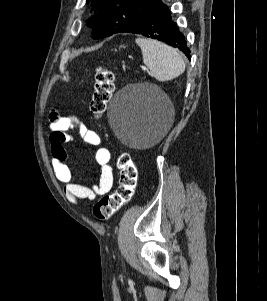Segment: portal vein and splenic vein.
Wrapping results in <instances>:
<instances>
[{"label": "portal vein and splenic vein", "mask_w": 267, "mask_h": 301, "mask_svg": "<svg viewBox=\"0 0 267 301\" xmlns=\"http://www.w3.org/2000/svg\"><path fill=\"white\" fill-rule=\"evenodd\" d=\"M141 68H142V70H144V71L147 70V68H146L145 66H142Z\"/></svg>", "instance_id": "1"}]
</instances>
